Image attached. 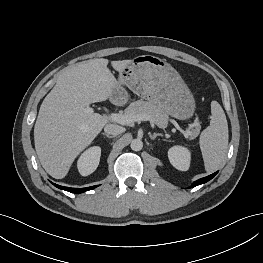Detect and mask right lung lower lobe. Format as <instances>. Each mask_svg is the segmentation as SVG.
Here are the masks:
<instances>
[{
    "instance_id": "right-lung-lower-lobe-1",
    "label": "right lung lower lobe",
    "mask_w": 263,
    "mask_h": 263,
    "mask_svg": "<svg viewBox=\"0 0 263 263\" xmlns=\"http://www.w3.org/2000/svg\"><path fill=\"white\" fill-rule=\"evenodd\" d=\"M54 185L59 189L66 190V191H69L71 193H76V194L82 193V192H85V191H88V190H91L97 187V186H91V187H86V188H70V187L60 186L57 184H54Z\"/></svg>"
}]
</instances>
